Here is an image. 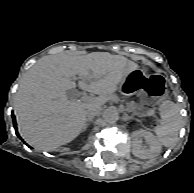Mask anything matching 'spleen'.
Returning a JSON list of instances; mask_svg holds the SVG:
<instances>
[{
  "mask_svg": "<svg viewBox=\"0 0 194 193\" xmlns=\"http://www.w3.org/2000/svg\"><path fill=\"white\" fill-rule=\"evenodd\" d=\"M180 108L172 101L166 100L160 107V123L155 127L159 142L165 147L176 144L182 126Z\"/></svg>",
  "mask_w": 194,
  "mask_h": 193,
  "instance_id": "1",
  "label": "spleen"
}]
</instances>
